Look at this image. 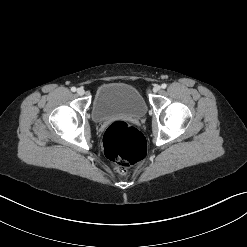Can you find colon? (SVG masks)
I'll return each instance as SVG.
<instances>
[{
  "label": "colon",
  "instance_id": "5ec220e1",
  "mask_svg": "<svg viewBox=\"0 0 247 247\" xmlns=\"http://www.w3.org/2000/svg\"><path fill=\"white\" fill-rule=\"evenodd\" d=\"M104 151L111 164L123 171L145 157V141L139 130L117 121L108 126L103 136Z\"/></svg>",
  "mask_w": 247,
  "mask_h": 247
}]
</instances>
